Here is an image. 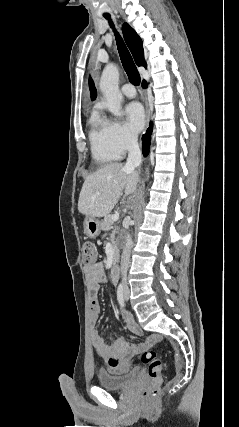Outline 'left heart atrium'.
I'll use <instances>...</instances> for the list:
<instances>
[{
  "label": "left heart atrium",
  "instance_id": "left-heart-atrium-1",
  "mask_svg": "<svg viewBox=\"0 0 239 427\" xmlns=\"http://www.w3.org/2000/svg\"><path fill=\"white\" fill-rule=\"evenodd\" d=\"M126 126L130 132H140L145 123L142 106L137 102L129 103L125 108Z\"/></svg>",
  "mask_w": 239,
  "mask_h": 427
}]
</instances>
